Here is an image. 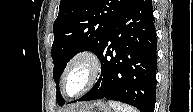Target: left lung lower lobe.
Returning <instances> with one entry per match:
<instances>
[{"label":"left lung lower lobe","mask_w":193,"mask_h":112,"mask_svg":"<svg viewBox=\"0 0 193 112\" xmlns=\"http://www.w3.org/2000/svg\"><path fill=\"white\" fill-rule=\"evenodd\" d=\"M156 32L151 0H133L111 28L97 55L101 76L77 101L107 98L154 112Z\"/></svg>","instance_id":"1"}]
</instances>
